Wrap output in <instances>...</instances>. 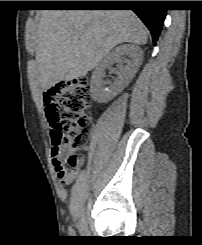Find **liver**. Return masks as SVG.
<instances>
[{
    "mask_svg": "<svg viewBox=\"0 0 202 245\" xmlns=\"http://www.w3.org/2000/svg\"><path fill=\"white\" fill-rule=\"evenodd\" d=\"M34 33L44 91L93 70L118 44L147 43V32L131 10H42Z\"/></svg>",
    "mask_w": 202,
    "mask_h": 245,
    "instance_id": "1",
    "label": "liver"
}]
</instances>
